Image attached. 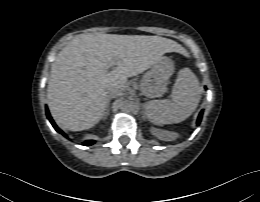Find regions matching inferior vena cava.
Segmentation results:
<instances>
[{
  "instance_id": "1",
  "label": "inferior vena cava",
  "mask_w": 260,
  "mask_h": 202,
  "mask_svg": "<svg viewBox=\"0 0 260 202\" xmlns=\"http://www.w3.org/2000/svg\"><path fill=\"white\" fill-rule=\"evenodd\" d=\"M121 95H122V90H121V88H118V87L110 88L107 91L108 99L109 98H115V97H118V96H121Z\"/></svg>"
}]
</instances>
